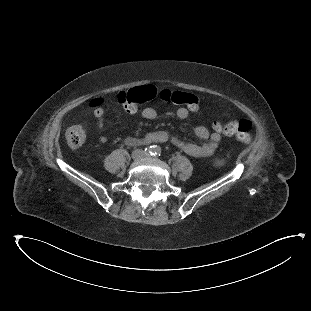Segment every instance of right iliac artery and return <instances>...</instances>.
<instances>
[{
    "instance_id": "obj_1",
    "label": "right iliac artery",
    "mask_w": 311,
    "mask_h": 311,
    "mask_svg": "<svg viewBox=\"0 0 311 311\" xmlns=\"http://www.w3.org/2000/svg\"><path fill=\"white\" fill-rule=\"evenodd\" d=\"M144 151H145V154L147 155H153L154 146L146 147Z\"/></svg>"
}]
</instances>
